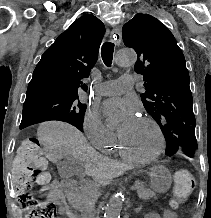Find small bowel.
I'll list each match as a JSON object with an SVG mask.
<instances>
[{"label": "small bowel", "instance_id": "1", "mask_svg": "<svg viewBox=\"0 0 211 218\" xmlns=\"http://www.w3.org/2000/svg\"><path fill=\"white\" fill-rule=\"evenodd\" d=\"M63 191L64 190L61 187V182L58 180H53L43 188V192H44L43 196L45 197L46 200L57 206L58 211L61 215H65L68 218H75L74 214L67 206ZM144 218H177V217L173 211L165 210L162 214H159L157 212H150L146 214Z\"/></svg>", "mask_w": 211, "mask_h": 218}]
</instances>
